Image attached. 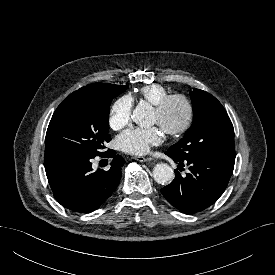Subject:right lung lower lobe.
<instances>
[{
  "mask_svg": "<svg viewBox=\"0 0 275 275\" xmlns=\"http://www.w3.org/2000/svg\"><path fill=\"white\" fill-rule=\"evenodd\" d=\"M113 158L108 171H93L91 159L71 154L44 157L46 175L55 199L65 208L79 213L96 210L114 192L121 178L123 157L114 150L105 152Z\"/></svg>",
  "mask_w": 275,
  "mask_h": 275,
  "instance_id": "right-lung-lower-lobe-1",
  "label": "right lung lower lobe"
}]
</instances>
